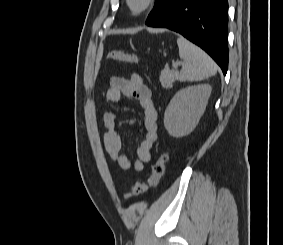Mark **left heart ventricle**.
<instances>
[{
	"instance_id": "1",
	"label": "left heart ventricle",
	"mask_w": 283,
	"mask_h": 245,
	"mask_svg": "<svg viewBox=\"0 0 283 245\" xmlns=\"http://www.w3.org/2000/svg\"><path fill=\"white\" fill-rule=\"evenodd\" d=\"M142 0H134V6L138 7L141 4Z\"/></svg>"
}]
</instances>
